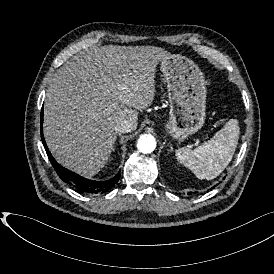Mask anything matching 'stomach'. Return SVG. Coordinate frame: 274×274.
I'll list each match as a JSON object with an SVG mask.
<instances>
[{"label": "stomach", "mask_w": 274, "mask_h": 274, "mask_svg": "<svg viewBox=\"0 0 274 274\" xmlns=\"http://www.w3.org/2000/svg\"><path fill=\"white\" fill-rule=\"evenodd\" d=\"M169 93V120L163 132L175 141H186L206 120L207 89L203 73L190 59L171 55L161 63Z\"/></svg>", "instance_id": "1"}]
</instances>
